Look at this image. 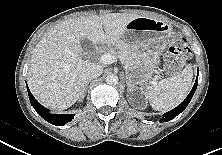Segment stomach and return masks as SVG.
Instances as JSON below:
<instances>
[{"label":"stomach","mask_w":222,"mask_h":155,"mask_svg":"<svg viewBox=\"0 0 222 155\" xmlns=\"http://www.w3.org/2000/svg\"><path fill=\"white\" fill-rule=\"evenodd\" d=\"M172 26L162 20L139 16L125 28L122 43L135 47L134 62L127 67L131 85L141 84L151 77L157 67L156 58L166 48Z\"/></svg>","instance_id":"0dacf381"}]
</instances>
